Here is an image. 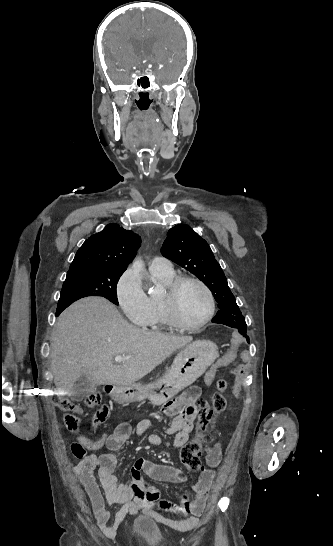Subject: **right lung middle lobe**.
I'll return each instance as SVG.
<instances>
[{"label":"right lung middle lobe","mask_w":333,"mask_h":546,"mask_svg":"<svg viewBox=\"0 0 333 546\" xmlns=\"http://www.w3.org/2000/svg\"><path fill=\"white\" fill-rule=\"evenodd\" d=\"M125 270L93 268L83 273L67 274L57 310H64L86 296H101L118 305L116 285Z\"/></svg>","instance_id":"1"}]
</instances>
